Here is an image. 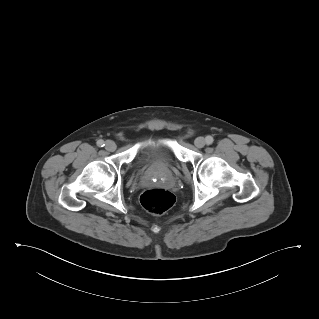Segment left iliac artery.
Instances as JSON below:
<instances>
[{"instance_id":"1","label":"left iliac artery","mask_w":319,"mask_h":319,"mask_svg":"<svg viewBox=\"0 0 319 319\" xmlns=\"http://www.w3.org/2000/svg\"><path fill=\"white\" fill-rule=\"evenodd\" d=\"M214 141L213 137L212 136H207L206 137V143L209 145V144H212Z\"/></svg>"}]
</instances>
